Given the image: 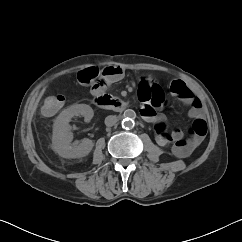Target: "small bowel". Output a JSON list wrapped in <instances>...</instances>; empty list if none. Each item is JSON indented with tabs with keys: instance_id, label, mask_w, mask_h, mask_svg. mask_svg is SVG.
<instances>
[{
	"instance_id": "1",
	"label": "small bowel",
	"mask_w": 242,
	"mask_h": 242,
	"mask_svg": "<svg viewBox=\"0 0 242 242\" xmlns=\"http://www.w3.org/2000/svg\"><path fill=\"white\" fill-rule=\"evenodd\" d=\"M102 74L105 76L106 80L104 83L93 87L94 93L105 92L114 82H117L123 78L125 70L117 65H109L102 70ZM175 82H179L183 86L185 93L181 97L176 95L171 89L172 84ZM170 90L174 96H178L191 107L189 117L192 119V125L190 128L191 136L189 138H186L183 131L178 128H173L172 130L167 129L166 117L158 112L157 108L150 100L142 98L139 94V100L142 104L141 115L155 126L156 139L160 145H168L173 143V152L179 157H186L201 144L206 135H201L199 132L193 131V125L198 122L204 124L207 129V124L203 113V105L201 101L194 96L191 89L181 80L173 79L170 82Z\"/></svg>"
}]
</instances>
